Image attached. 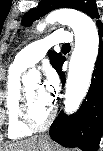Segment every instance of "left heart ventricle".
Listing matches in <instances>:
<instances>
[{"mask_svg":"<svg viewBox=\"0 0 103 151\" xmlns=\"http://www.w3.org/2000/svg\"><path fill=\"white\" fill-rule=\"evenodd\" d=\"M31 116L37 123H43L50 113L52 102L46 100L41 92L38 82H30L26 85Z\"/></svg>","mask_w":103,"mask_h":151,"instance_id":"left-heart-ventricle-1","label":"left heart ventricle"}]
</instances>
